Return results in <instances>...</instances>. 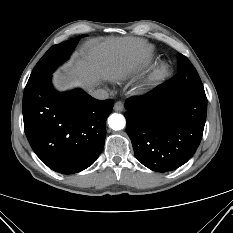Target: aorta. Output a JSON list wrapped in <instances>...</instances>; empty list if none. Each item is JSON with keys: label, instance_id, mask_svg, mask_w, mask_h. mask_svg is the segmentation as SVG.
<instances>
[{"label": "aorta", "instance_id": "762f6f07", "mask_svg": "<svg viewBox=\"0 0 233 233\" xmlns=\"http://www.w3.org/2000/svg\"><path fill=\"white\" fill-rule=\"evenodd\" d=\"M108 124L113 130H121L125 127L126 121L123 115L114 113L109 116Z\"/></svg>", "mask_w": 233, "mask_h": 233}]
</instances>
